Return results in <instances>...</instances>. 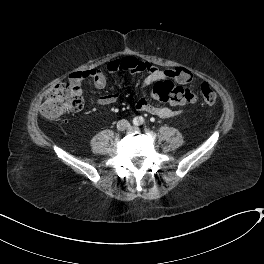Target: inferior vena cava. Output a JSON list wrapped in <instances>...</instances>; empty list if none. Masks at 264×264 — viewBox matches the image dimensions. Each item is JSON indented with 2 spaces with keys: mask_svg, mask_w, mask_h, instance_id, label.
I'll list each match as a JSON object with an SVG mask.
<instances>
[{
  "mask_svg": "<svg viewBox=\"0 0 264 264\" xmlns=\"http://www.w3.org/2000/svg\"><path fill=\"white\" fill-rule=\"evenodd\" d=\"M127 125H128V121H126V120H121V121L118 122V126L120 128H124Z\"/></svg>",
  "mask_w": 264,
  "mask_h": 264,
  "instance_id": "1",
  "label": "inferior vena cava"
}]
</instances>
